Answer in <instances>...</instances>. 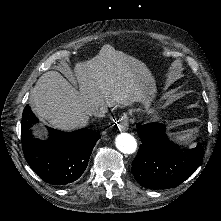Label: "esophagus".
Listing matches in <instances>:
<instances>
[{"instance_id":"34e87169","label":"esophagus","mask_w":221,"mask_h":221,"mask_svg":"<svg viewBox=\"0 0 221 221\" xmlns=\"http://www.w3.org/2000/svg\"><path fill=\"white\" fill-rule=\"evenodd\" d=\"M120 129L125 131L128 129V119L126 117H124L121 122H120V125H119Z\"/></svg>"}]
</instances>
